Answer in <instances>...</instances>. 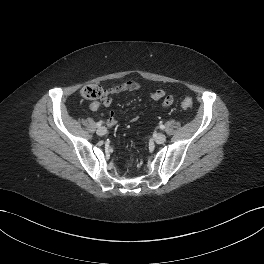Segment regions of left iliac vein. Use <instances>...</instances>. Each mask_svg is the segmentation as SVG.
Returning <instances> with one entry per match:
<instances>
[{
  "mask_svg": "<svg viewBox=\"0 0 264 264\" xmlns=\"http://www.w3.org/2000/svg\"><path fill=\"white\" fill-rule=\"evenodd\" d=\"M155 142L158 144H162L166 141V136L163 133H158L154 138Z\"/></svg>",
  "mask_w": 264,
  "mask_h": 264,
  "instance_id": "1",
  "label": "left iliac vein"
}]
</instances>
